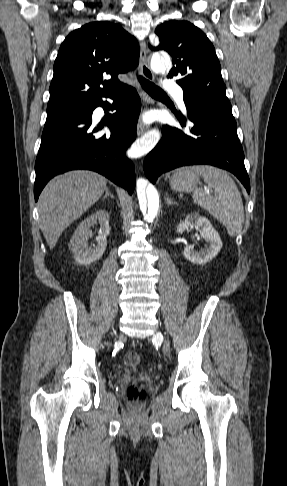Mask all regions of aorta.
<instances>
[{"label": "aorta", "mask_w": 287, "mask_h": 486, "mask_svg": "<svg viewBox=\"0 0 287 486\" xmlns=\"http://www.w3.org/2000/svg\"><path fill=\"white\" fill-rule=\"evenodd\" d=\"M150 65L154 72L159 73L171 68V60L167 55L163 56L155 53L151 57ZM137 195L144 219L147 222H152L159 210V196L157 190L152 184L138 183Z\"/></svg>", "instance_id": "1"}]
</instances>
